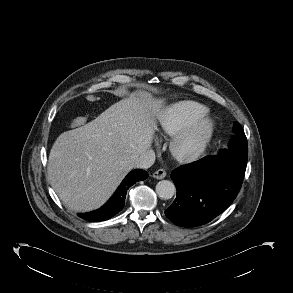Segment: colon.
<instances>
[{
    "label": "colon",
    "mask_w": 293,
    "mask_h": 293,
    "mask_svg": "<svg viewBox=\"0 0 293 293\" xmlns=\"http://www.w3.org/2000/svg\"><path fill=\"white\" fill-rule=\"evenodd\" d=\"M86 100L88 102H96L99 100V96L97 94L90 93V94L86 95ZM86 122H87V117L79 116V117L74 118L71 121L70 126L73 128H76V127H80V126L84 125Z\"/></svg>",
    "instance_id": "5ec220e1"
}]
</instances>
